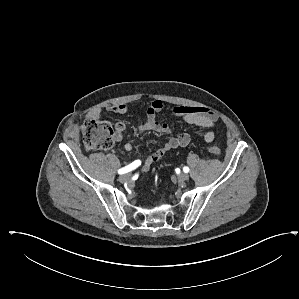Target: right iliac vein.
<instances>
[{"label": "right iliac vein", "instance_id": "1", "mask_svg": "<svg viewBox=\"0 0 299 299\" xmlns=\"http://www.w3.org/2000/svg\"><path fill=\"white\" fill-rule=\"evenodd\" d=\"M130 177H131L130 174H124V175H121V176L119 177V181H120L121 183H124V182L128 181V180L130 179Z\"/></svg>", "mask_w": 299, "mask_h": 299}]
</instances>
